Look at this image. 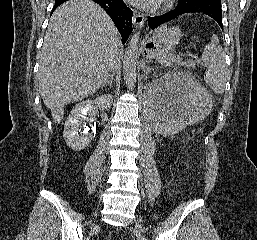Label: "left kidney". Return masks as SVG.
I'll use <instances>...</instances> for the list:
<instances>
[{"mask_svg": "<svg viewBox=\"0 0 257 240\" xmlns=\"http://www.w3.org/2000/svg\"><path fill=\"white\" fill-rule=\"evenodd\" d=\"M209 107L208 92L187 73L171 72L145 87V113L158 134H177L204 119Z\"/></svg>", "mask_w": 257, "mask_h": 240, "instance_id": "left-kidney-1", "label": "left kidney"}]
</instances>
